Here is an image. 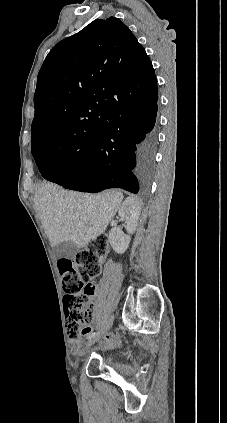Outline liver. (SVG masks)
<instances>
[{
    "mask_svg": "<svg viewBox=\"0 0 227 423\" xmlns=\"http://www.w3.org/2000/svg\"><path fill=\"white\" fill-rule=\"evenodd\" d=\"M123 198V194L116 190L80 194L47 182L37 188L34 206L52 247L62 241H72L77 247H86L92 239L104 233Z\"/></svg>",
    "mask_w": 227,
    "mask_h": 423,
    "instance_id": "liver-1",
    "label": "liver"
}]
</instances>
